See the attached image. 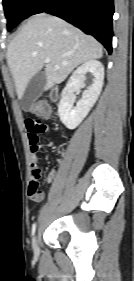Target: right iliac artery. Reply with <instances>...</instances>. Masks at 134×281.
I'll return each instance as SVG.
<instances>
[{
  "label": "right iliac artery",
  "instance_id": "82829eb1",
  "mask_svg": "<svg viewBox=\"0 0 134 281\" xmlns=\"http://www.w3.org/2000/svg\"><path fill=\"white\" fill-rule=\"evenodd\" d=\"M35 231H36V223H34V224L32 225V236H34Z\"/></svg>",
  "mask_w": 134,
  "mask_h": 281
}]
</instances>
